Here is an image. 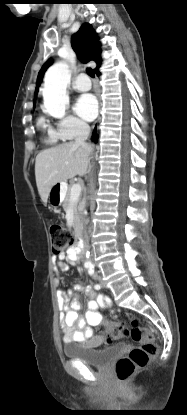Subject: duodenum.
<instances>
[{
  "label": "duodenum",
  "instance_id": "obj_1",
  "mask_svg": "<svg viewBox=\"0 0 187 415\" xmlns=\"http://www.w3.org/2000/svg\"><path fill=\"white\" fill-rule=\"evenodd\" d=\"M74 229H75V245L72 248V252L73 251L77 252L78 250H80V248L82 246V235H81L80 228L77 224H75ZM71 257L75 258L73 253H71Z\"/></svg>",
  "mask_w": 187,
  "mask_h": 415
}]
</instances>
